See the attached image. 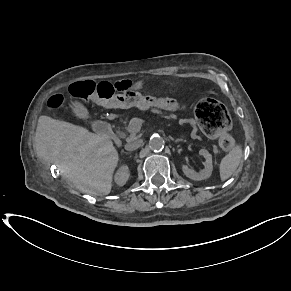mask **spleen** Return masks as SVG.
<instances>
[{"mask_svg":"<svg viewBox=\"0 0 291 291\" xmlns=\"http://www.w3.org/2000/svg\"><path fill=\"white\" fill-rule=\"evenodd\" d=\"M242 156V147L236 145L222 158L219 166L220 178L222 181L227 180L233 175L241 162Z\"/></svg>","mask_w":291,"mask_h":291,"instance_id":"spleen-1","label":"spleen"}]
</instances>
